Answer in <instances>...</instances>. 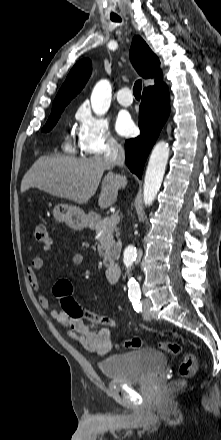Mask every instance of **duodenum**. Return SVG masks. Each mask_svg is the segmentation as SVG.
Returning <instances> with one entry per match:
<instances>
[{"label":"duodenum","instance_id":"obj_1","mask_svg":"<svg viewBox=\"0 0 221 440\" xmlns=\"http://www.w3.org/2000/svg\"><path fill=\"white\" fill-rule=\"evenodd\" d=\"M106 276L112 282H118L122 276V269L116 263H110L106 268Z\"/></svg>","mask_w":221,"mask_h":440}]
</instances>
